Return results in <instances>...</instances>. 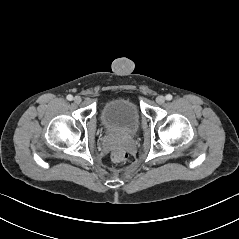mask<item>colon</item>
Segmentation results:
<instances>
[{"label": "colon", "instance_id": "1", "mask_svg": "<svg viewBox=\"0 0 239 239\" xmlns=\"http://www.w3.org/2000/svg\"><path fill=\"white\" fill-rule=\"evenodd\" d=\"M111 158L115 162H124L128 158V153L124 149H116L112 152Z\"/></svg>", "mask_w": 239, "mask_h": 239}]
</instances>
